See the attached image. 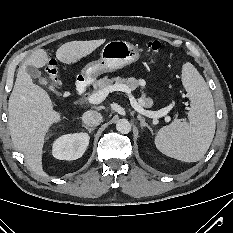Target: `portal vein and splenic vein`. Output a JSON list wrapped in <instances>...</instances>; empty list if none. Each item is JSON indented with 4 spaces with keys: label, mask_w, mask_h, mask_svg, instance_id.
<instances>
[{
    "label": "portal vein and splenic vein",
    "mask_w": 233,
    "mask_h": 233,
    "mask_svg": "<svg viewBox=\"0 0 233 233\" xmlns=\"http://www.w3.org/2000/svg\"><path fill=\"white\" fill-rule=\"evenodd\" d=\"M113 91H124V92H127L129 95V99H130V102H131V105L132 107L140 114L146 116V117H149V118H153V119H157L159 117H162V116H165L167 115V113L171 110L172 108V105H169V106H166L158 111H149V110H145L143 109V107L141 106L140 104V101L139 103L135 100V98L130 94V90L128 89L127 86L125 85H111L109 86L108 88L106 89H103V90H99L97 91L96 93H93L92 95H90L88 97V103L90 104H100L101 102H103L105 100V98L107 97V95L110 93V92H113ZM165 120L167 122L170 121V117L169 116H166L165 117Z\"/></svg>",
    "instance_id": "1"
}]
</instances>
